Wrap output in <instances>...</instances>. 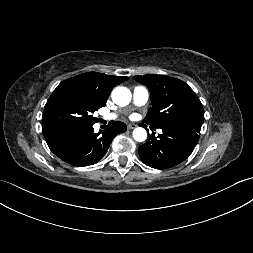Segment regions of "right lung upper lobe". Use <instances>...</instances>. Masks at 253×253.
Segmentation results:
<instances>
[{"mask_svg": "<svg viewBox=\"0 0 253 253\" xmlns=\"http://www.w3.org/2000/svg\"><path fill=\"white\" fill-rule=\"evenodd\" d=\"M78 82L98 100L107 101L111 90L127 80V77L111 76L99 72H88L70 78Z\"/></svg>", "mask_w": 253, "mask_h": 253, "instance_id": "obj_1", "label": "right lung upper lobe"}]
</instances>
